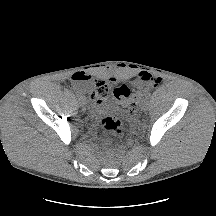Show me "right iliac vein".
I'll use <instances>...</instances> for the list:
<instances>
[{
    "mask_svg": "<svg viewBox=\"0 0 216 216\" xmlns=\"http://www.w3.org/2000/svg\"><path fill=\"white\" fill-rule=\"evenodd\" d=\"M79 101H80V104H81V105H84V104H85V100H84L83 97H82L81 99H79Z\"/></svg>",
    "mask_w": 216,
    "mask_h": 216,
    "instance_id": "1",
    "label": "right iliac vein"
}]
</instances>
